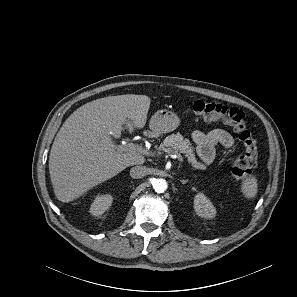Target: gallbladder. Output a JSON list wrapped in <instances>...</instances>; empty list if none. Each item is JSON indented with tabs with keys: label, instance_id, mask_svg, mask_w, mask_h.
<instances>
[{
	"label": "gallbladder",
	"instance_id": "gallbladder-1",
	"mask_svg": "<svg viewBox=\"0 0 297 297\" xmlns=\"http://www.w3.org/2000/svg\"><path fill=\"white\" fill-rule=\"evenodd\" d=\"M126 123H127V125H129L130 124V120H127Z\"/></svg>",
	"mask_w": 297,
	"mask_h": 297
}]
</instances>
